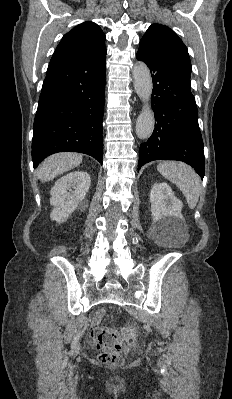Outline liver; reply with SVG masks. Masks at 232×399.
I'll return each mask as SVG.
<instances>
[{
  "mask_svg": "<svg viewBox=\"0 0 232 399\" xmlns=\"http://www.w3.org/2000/svg\"><path fill=\"white\" fill-rule=\"evenodd\" d=\"M82 162V154H70V152H62V154H54L44 160L38 170V178L42 182H50L53 178H57L64 172H69L73 168L80 166Z\"/></svg>",
  "mask_w": 232,
  "mask_h": 399,
  "instance_id": "6515ba94",
  "label": "liver"
}]
</instances>
